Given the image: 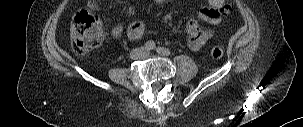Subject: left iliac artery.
Returning <instances> with one entry per match:
<instances>
[{
	"instance_id": "obj_1",
	"label": "left iliac artery",
	"mask_w": 303,
	"mask_h": 127,
	"mask_svg": "<svg viewBox=\"0 0 303 127\" xmlns=\"http://www.w3.org/2000/svg\"><path fill=\"white\" fill-rule=\"evenodd\" d=\"M156 51L163 56H169L171 54V51L164 47H157Z\"/></svg>"
}]
</instances>
